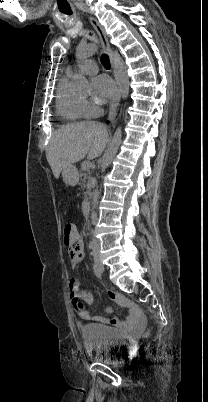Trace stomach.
I'll return each mask as SVG.
<instances>
[{
    "label": "stomach",
    "mask_w": 208,
    "mask_h": 402,
    "mask_svg": "<svg viewBox=\"0 0 208 402\" xmlns=\"http://www.w3.org/2000/svg\"><path fill=\"white\" fill-rule=\"evenodd\" d=\"M62 178L67 186H76L79 182L77 168H75V166H67V168L62 170Z\"/></svg>",
    "instance_id": "0dacf381"
}]
</instances>
